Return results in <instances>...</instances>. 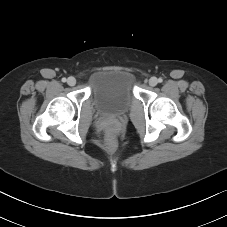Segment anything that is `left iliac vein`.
<instances>
[{
  "label": "left iliac vein",
  "mask_w": 227,
  "mask_h": 227,
  "mask_svg": "<svg viewBox=\"0 0 227 227\" xmlns=\"http://www.w3.org/2000/svg\"><path fill=\"white\" fill-rule=\"evenodd\" d=\"M157 83H158V80H157L156 77H151V78L149 79V85H150V86L154 87V86L157 85Z\"/></svg>",
  "instance_id": "1"
}]
</instances>
